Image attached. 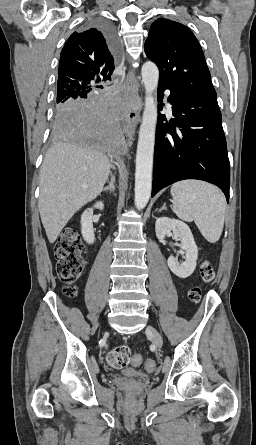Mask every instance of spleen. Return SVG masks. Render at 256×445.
Segmentation results:
<instances>
[{
    "label": "spleen",
    "mask_w": 256,
    "mask_h": 445,
    "mask_svg": "<svg viewBox=\"0 0 256 445\" xmlns=\"http://www.w3.org/2000/svg\"><path fill=\"white\" fill-rule=\"evenodd\" d=\"M171 196L173 210L180 219L194 221L208 242L219 240L224 226L226 200L216 186L184 180L172 185Z\"/></svg>",
    "instance_id": "spleen-1"
}]
</instances>
